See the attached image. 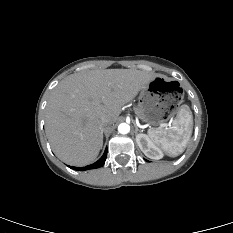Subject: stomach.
Listing matches in <instances>:
<instances>
[{
  "label": "stomach",
  "instance_id": "0dacf381",
  "mask_svg": "<svg viewBox=\"0 0 233 233\" xmlns=\"http://www.w3.org/2000/svg\"><path fill=\"white\" fill-rule=\"evenodd\" d=\"M183 97L184 90L177 79L157 75L140 91L137 116L150 125L162 124L175 114Z\"/></svg>",
  "mask_w": 233,
  "mask_h": 233
}]
</instances>
